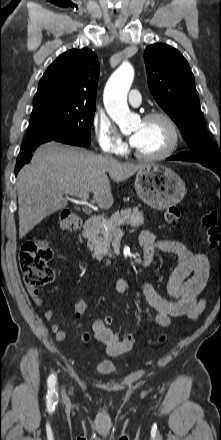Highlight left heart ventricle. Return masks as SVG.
Here are the masks:
<instances>
[{"mask_svg": "<svg viewBox=\"0 0 221 440\" xmlns=\"http://www.w3.org/2000/svg\"><path fill=\"white\" fill-rule=\"evenodd\" d=\"M141 131L136 148L145 154H156L163 151L169 144L170 131L161 119L139 121L132 127V132Z\"/></svg>", "mask_w": 221, "mask_h": 440, "instance_id": "1", "label": "left heart ventricle"}]
</instances>
